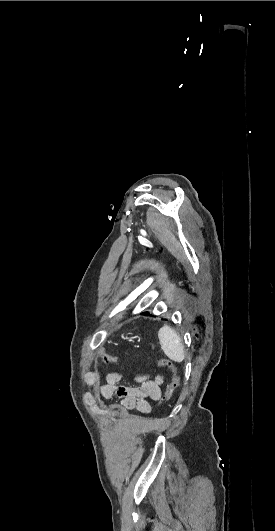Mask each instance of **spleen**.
<instances>
[{"instance_id":"3e777b00","label":"spleen","mask_w":275,"mask_h":531,"mask_svg":"<svg viewBox=\"0 0 275 531\" xmlns=\"http://www.w3.org/2000/svg\"><path fill=\"white\" fill-rule=\"evenodd\" d=\"M158 339L161 349L167 355L168 359L175 361V363H182L184 361L185 353L182 341L172 327H169V325L161 327L158 331Z\"/></svg>"}]
</instances>
